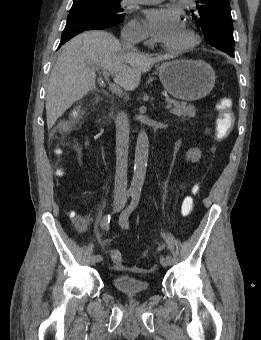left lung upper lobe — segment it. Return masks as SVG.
Wrapping results in <instances>:
<instances>
[{
  "mask_svg": "<svg viewBox=\"0 0 261 340\" xmlns=\"http://www.w3.org/2000/svg\"><path fill=\"white\" fill-rule=\"evenodd\" d=\"M191 13L211 46L227 54L234 53L233 23L228 0H197Z\"/></svg>",
  "mask_w": 261,
  "mask_h": 340,
  "instance_id": "1",
  "label": "left lung upper lobe"
}]
</instances>
